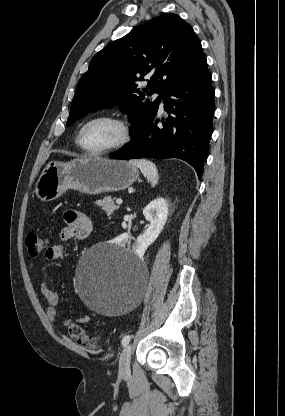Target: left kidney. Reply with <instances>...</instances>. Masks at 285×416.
<instances>
[{"label":"left kidney","mask_w":285,"mask_h":416,"mask_svg":"<svg viewBox=\"0 0 285 416\" xmlns=\"http://www.w3.org/2000/svg\"><path fill=\"white\" fill-rule=\"evenodd\" d=\"M143 214L150 224L144 234H140L131 246L136 254H145L148 246H151L157 240L160 232H162L168 216L166 200L164 198H156V200H153L144 208ZM123 244H131L127 236H124Z\"/></svg>","instance_id":"5707ae66"}]
</instances>
